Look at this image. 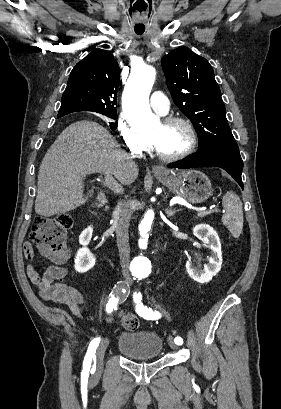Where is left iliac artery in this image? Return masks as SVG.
<instances>
[{
    "label": "left iliac artery",
    "instance_id": "left-iliac-artery-1",
    "mask_svg": "<svg viewBox=\"0 0 281 409\" xmlns=\"http://www.w3.org/2000/svg\"><path fill=\"white\" fill-rule=\"evenodd\" d=\"M133 298L136 303V312L138 313V315L149 320L160 318L159 312L153 311L151 308L143 305V303L141 302V293H134ZM174 341L177 345H181L183 343V339L181 337H176Z\"/></svg>",
    "mask_w": 281,
    "mask_h": 409
}]
</instances>
